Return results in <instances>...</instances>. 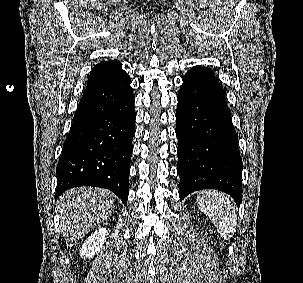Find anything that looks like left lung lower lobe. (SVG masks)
Here are the masks:
<instances>
[{"instance_id":"left-lung-lower-lobe-1","label":"left lung lower lobe","mask_w":303,"mask_h":283,"mask_svg":"<svg viewBox=\"0 0 303 283\" xmlns=\"http://www.w3.org/2000/svg\"><path fill=\"white\" fill-rule=\"evenodd\" d=\"M177 99L180 199L217 189L239 205L243 164L223 87L211 69L195 66L183 77Z\"/></svg>"}]
</instances>
